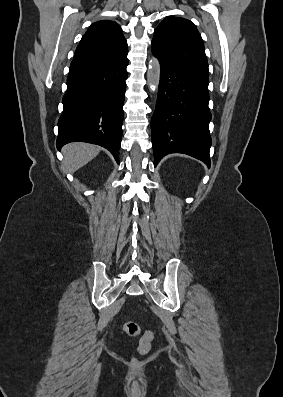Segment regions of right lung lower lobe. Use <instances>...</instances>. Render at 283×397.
<instances>
[{
  "label": "right lung lower lobe",
  "instance_id": "98d812e1",
  "mask_svg": "<svg viewBox=\"0 0 283 397\" xmlns=\"http://www.w3.org/2000/svg\"><path fill=\"white\" fill-rule=\"evenodd\" d=\"M128 59L67 77L58 120V150L74 141L108 149L119 162Z\"/></svg>",
  "mask_w": 283,
  "mask_h": 397
}]
</instances>
